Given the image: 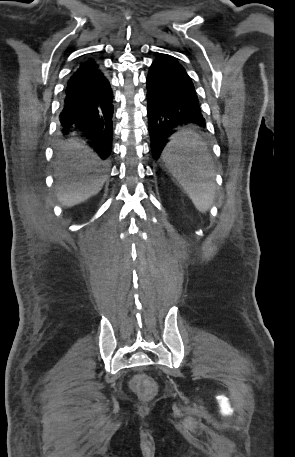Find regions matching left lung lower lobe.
Masks as SVG:
<instances>
[{"instance_id":"1","label":"left lung lower lobe","mask_w":295,"mask_h":457,"mask_svg":"<svg viewBox=\"0 0 295 457\" xmlns=\"http://www.w3.org/2000/svg\"><path fill=\"white\" fill-rule=\"evenodd\" d=\"M148 125L154 159L172 140L174 128L185 123L205 127L199 101L185 68L172 56L160 54L147 77ZM198 160V154L190 155Z\"/></svg>"}]
</instances>
